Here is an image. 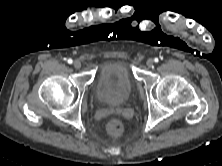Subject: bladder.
<instances>
[{
	"mask_svg": "<svg viewBox=\"0 0 222 166\" xmlns=\"http://www.w3.org/2000/svg\"><path fill=\"white\" fill-rule=\"evenodd\" d=\"M132 91V77L123 63L103 67L95 81V97L105 106L117 107L125 104L130 99Z\"/></svg>",
	"mask_w": 222,
	"mask_h": 166,
	"instance_id": "bladder-1",
	"label": "bladder"
}]
</instances>
